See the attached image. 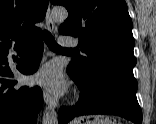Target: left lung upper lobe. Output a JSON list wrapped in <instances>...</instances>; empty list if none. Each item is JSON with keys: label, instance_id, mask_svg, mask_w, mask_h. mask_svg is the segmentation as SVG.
I'll return each mask as SVG.
<instances>
[{"label": "left lung upper lobe", "instance_id": "left-lung-upper-lobe-1", "mask_svg": "<svg viewBox=\"0 0 156 124\" xmlns=\"http://www.w3.org/2000/svg\"><path fill=\"white\" fill-rule=\"evenodd\" d=\"M68 10L59 32L78 37L84 56L72 59L67 71L81 82L104 71L134 78L136 58L132 20L125 0H51Z\"/></svg>", "mask_w": 156, "mask_h": 124}]
</instances>
